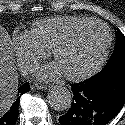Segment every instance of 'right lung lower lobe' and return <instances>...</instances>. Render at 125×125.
Returning a JSON list of instances; mask_svg holds the SVG:
<instances>
[{"label": "right lung lower lobe", "instance_id": "1", "mask_svg": "<svg viewBox=\"0 0 125 125\" xmlns=\"http://www.w3.org/2000/svg\"><path fill=\"white\" fill-rule=\"evenodd\" d=\"M26 92H29V83L26 82L18 89V94L22 95ZM18 105L19 100L17 99L10 109L4 114L0 116V125H15L18 119Z\"/></svg>", "mask_w": 125, "mask_h": 125}]
</instances>
